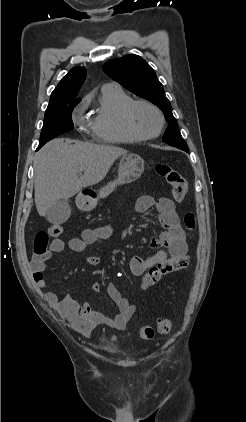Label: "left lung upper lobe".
Listing matches in <instances>:
<instances>
[{
	"label": "left lung upper lobe",
	"instance_id": "1",
	"mask_svg": "<svg viewBox=\"0 0 246 422\" xmlns=\"http://www.w3.org/2000/svg\"><path fill=\"white\" fill-rule=\"evenodd\" d=\"M103 70L130 92L156 104L163 111L165 119L169 123L163 136V142L188 152V147L180 134L163 86L157 79L154 70L144 59L130 54L107 61Z\"/></svg>",
	"mask_w": 246,
	"mask_h": 422
}]
</instances>
